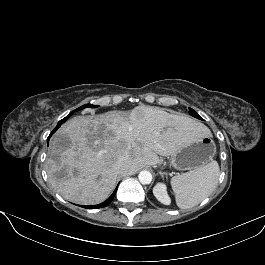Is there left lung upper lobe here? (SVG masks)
<instances>
[{
	"instance_id": "obj_1",
	"label": "left lung upper lobe",
	"mask_w": 265,
	"mask_h": 265,
	"mask_svg": "<svg viewBox=\"0 0 265 265\" xmlns=\"http://www.w3.org/2000/svg\"><path fill=\"white\" fill-rule=\"evenodd\" d=\"M189 114L192 115L195 118L202 119L197 112H195L193 109L189 108Z\"/></svg>"
}]
</instances>
